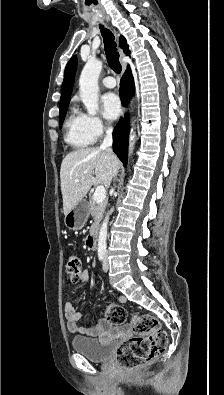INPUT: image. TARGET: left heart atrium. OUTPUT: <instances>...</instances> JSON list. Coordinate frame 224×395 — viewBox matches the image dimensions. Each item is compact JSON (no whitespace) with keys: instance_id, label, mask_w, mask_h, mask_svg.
Returning a JSON list of instances; mask_svg holds the SVG:
<instances>
[{"instance_id":"1","label":"left heart atrium","mask_w":224,"mask_h":395,"mask_svg":"<svg viewBox=\"0 0 224 395\" xmlns=\"http://www.w3.org/2000/svg\"><path fill=\"white\" fill-rule=\"evenodd\" d=\"M102 108L104 116L107 119H116L121 112V101L119 97L114 93L105 94L102 99Z\"/></svg>"}]
</instances>
